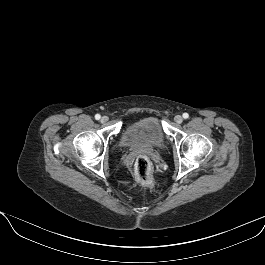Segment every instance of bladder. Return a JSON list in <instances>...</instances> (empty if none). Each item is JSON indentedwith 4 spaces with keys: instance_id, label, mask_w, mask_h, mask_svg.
<instances>
[{
    "instance_id": "bladder-1",
    "label": "bladder",
    "mask_w": 265,
    "mask_h": 265,
    "mask_svg": "<svg viewBox=\"0 0 265 265\" xmlns=\"http://www.w3.org/2000/svg\"><path fill=\"white\" fill-rule=\"evenodd\" d=\"M164 135L158 118L149 116L129 123L121 136V144L126 147L157 146Z\"/></svg>"
}]
</instances>
